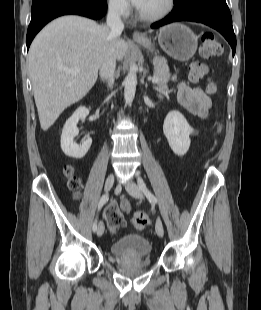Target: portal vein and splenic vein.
Segmentation results:
<instances>
[{"instance_id":"portal-vein-and-splenic-vein-1","label":"portal vein and splenic vein","mask_w":261,"mask_h":310,"mask_svg":"<svg viewBox=\"0 0 261 310\" xmlns=\"http://www.w3.org/2000/svg\"><path fill=\"white\" fill-rule=\"evenodd\" d=\"M65 71L67 73H77L79 71V69H74V68H66ZM159 81V79L157 77H153L152 78V83H157Z\"/></svg>"}]
</instances>
